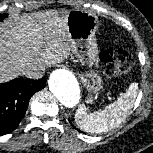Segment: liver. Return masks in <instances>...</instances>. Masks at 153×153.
I'll use <instances>...</instances> for the list:
<instances>
[{
  "label": "liver",
  "mask_w": 153,
  "mask_h": 153,
  "mask_svg": "<svg viewBox=\"0 0 153 153\" xmlns=\"http://www.w3.org/2000/svg\"><path fill=\"white\" fill-rule=\"evenodd\" d=\"M70 50L66 18L47 20L35 13L1 25L0 83L21 75L29 64H53L49 58L62 61L68 58Z\"/></svg>",
  "instance_id": "obj_1"
}]
</instances>
